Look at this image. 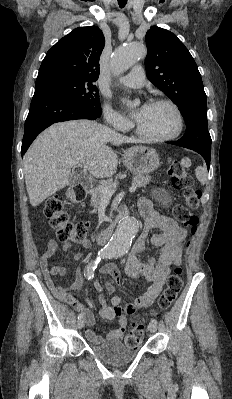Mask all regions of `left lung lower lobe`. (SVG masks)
<instances>
[{
    "mask_svg": "<svg viewBox=\"0 0 232 399\" xmlns=\"http://www.w3.org/2000/svg\"><path fill=\"white\" fill-rule=\"evenodd\" d=\"M167 143L173 144V145H177V146H181V147H185V148L191 149V150H193V151H196L197 153H199V154L205 159L206 164H207V167H208V169H209L211 151H204V150H199V149H196V148L187 147V146H184V145L179 144L178 141H175V142H167Z\"/></svg>",
    "mask_w": 232,
    "mask_h": 399,
    "instance_id": "0a47b994",
    "label": "left lung lower lobe"
}]
</instances>
